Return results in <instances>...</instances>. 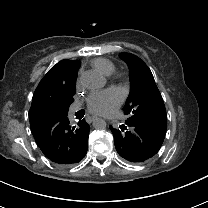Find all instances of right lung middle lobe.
<instances>
[{
	"label": "right lung middle lobe",
	"instance_id": "1",
	"mask_svg": "<svg viewBox=\"0 0 208 208\" xmlns=\"http://www.w3.org/2000/svg\"><path fill=\"white\" fill-rule=\"evenodd\" d=\"M75 85L65 88L57 97L42 103L41 109L47 114H67L69 106L74 101Z\"/></svg>",
	"mask_w": 208,
	"mask_h": 208
}]
</instances>
